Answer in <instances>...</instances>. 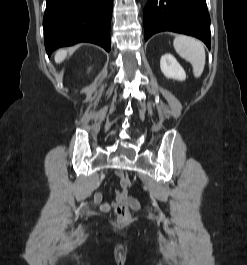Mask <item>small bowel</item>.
<instances>
[{"mask_svg": "<svg viewBox=\"0 0 247 265\" xmlns=\"http://www.w3.org/2000/svg\"><path fill=\"white\" fill-rule=\"evenodd\" d=\"M94 203L100 207L102 211H109L113 205L118 203H126L128 204L133 210L139 209V203L136 199L130 197L127 191H118L116 195V200L113 203H108L103 201V196L101 192H96L94 194Z\"/></svg>", "mask_w": 247, "mask_h": 265, "instance_id": "small-bowel-1", "label": "small bowel"}]
</instances>
